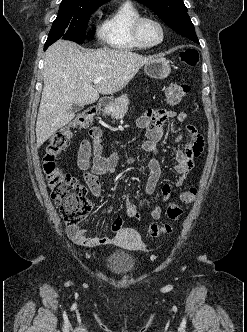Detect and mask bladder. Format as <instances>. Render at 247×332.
<instances>
[{"label": "bladder", "mask_w": 247, "mask_h": 332, "mask_svg": "<svg viewBox=\"0 0 247 332\" xmlns=\"http://www.w3.org/2000/svg\"><path fill=\"white\" fill-rule=\"evenodd\" d=\"M136 259L131 254L114 251L105 259V267L114 274L123 275L132 272L136 267Z\"/></svg>", "instance_id": "obj_1"}]
</instances>
